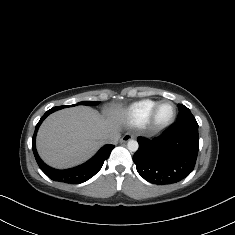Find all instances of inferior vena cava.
I'll list each match as a JSON object with an SVG mask.
<instances>
[{
    "mask_svg": "<svg viewBox=\"0 0 235 235\" xmlns=\"http://www.w3.org/2000/svg\"><path fill=\"white\" fill-rule=\"evenodd\" d=\"M119 138H120L119 131H112L103 136L104 142L112 145L118 144Z\"/></svg>",
    "mask_w": 235,
    "mask_h": 235,
    "instance_id": "1",
    "label": "inferior vena cava"
}]
</instances>
